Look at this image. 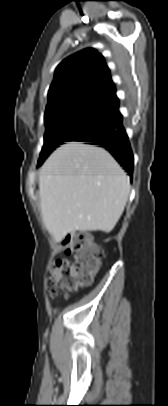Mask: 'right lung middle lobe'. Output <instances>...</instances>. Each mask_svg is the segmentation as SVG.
I'll list each match as a JSON object with an SVG mask.
<instances>
[{
  "mask_svg": "<svg viewBox=\"0 0 168 406\" xmlns=\"http://www.w3.org/2000/svg\"><path fill=\"white\" fill-rule=\"evenodd\" d=\"M114 119L112 107L104 104H80L64 107L45 115L46 131L38 166L64 142L76 141L107 125Z\"/></svg>",
  "mask_w": 168,
  "mask_h": 406,
  "instance_id": "right-lung-middle-lobe-1",
  "label": "right lung middle lobe"
}]
</instances>
